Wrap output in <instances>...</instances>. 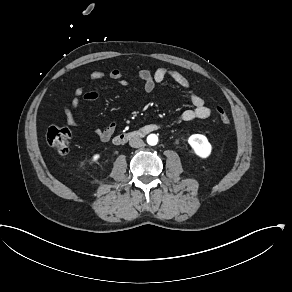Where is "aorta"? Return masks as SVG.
Listing matches in <instances>:
<instances>
[{"mask_svg": "<svg viewBox=\"0 0 292 292\" xmlns=\"http://www.w3.org/2000/svg\"><path fill=\"white\" fill-rule=\"evenodd\" d=\"M147 142L149 145H156L158 143V137L155 134H151L147 137Z\"/></svg>", "mask_w": 292, "mask_h": 292, "instance_id": "aorta-1", "label": "aorta"}]
</instances>
